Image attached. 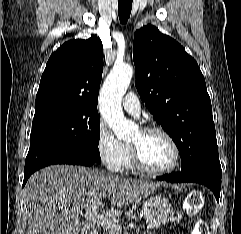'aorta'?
Instances as JSON below:
<instances>
[{"label": "aorta", "instance_id": "obj_1", "mask_svg": "<svg viewBox=\"0 0 241 234\" xmlns=\"http://www.w3.org/2000/svg\"><path fill=\"white\" fill-rule=\"evenodd\" d=\"M132 76L131 65L115 64L100 92L101 115L119 139L129 138L136 131V125L125 118L121 108L122 97L128 89Z\"/></svg>", "mask_w": 241, "mask_h": 234}]
</instances>
